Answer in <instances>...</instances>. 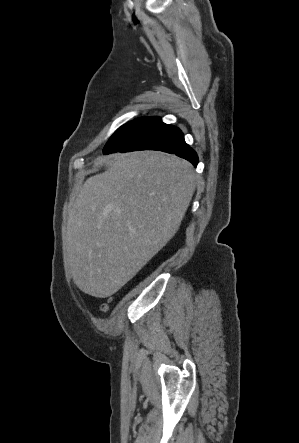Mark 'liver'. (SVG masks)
Wrapping results in <instances>:
<instances>
[{"mask_svg":"<svg viewBox=\"0 0 299 443\" xmlns=\"http://www.w3.org/2000/svg\"><path fill=\"white\" fill-rule=\"evenodd\" d=\"M196 188L191 163L157 151L115 156L69 211L66 249L76 286L110 297L176 234Z\"/></svg>","mask_w":299,"mask_h":443,"instance_id":"obj_1","label":"liver"}]
</instances>
